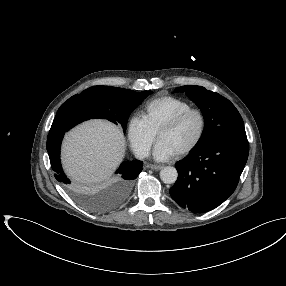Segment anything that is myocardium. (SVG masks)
<instances>
[{"instance_id": "obj_1", "label": "myocardium", "mask_w": 286, "mask_h": 286, "mask_svg": "<svg viewBox=\"0 0 286 286\" xmlns=\"http://www.w3.org/2000/svg\"><path fill=\"white\" fill-rule=\"evenodd\" d=\"M190 114H197L199 116L200 129H199L198 135L193 140V142L191 144H189L187 147H185L184 149L177 152V155H179V156L189 154L190 152L195 150L198 147V145L201 143V141L203 140L205 132H206V128H207V119H206V115H205L204 111L200 108H197V107L187 108V109L177 113L176 115H174L170 119H168L165 123L162 124V126L159 128V130L157 132V137L159 139L160 135L164 131H167L169 129L176 127Z\"/></svg>"}]
</instances>
